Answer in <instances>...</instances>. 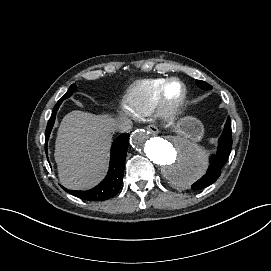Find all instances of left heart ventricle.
Segmentation results:
<instances>
[{
	"label": "left heart ventricle",
	"instance_id": "left-heart-ventricle-1",
	"mask_svg": "<svg viewBox=\"0 0 271 271\" xmlns=\"http://www.w3.org/2000/svg\"><path fill=\"white\" fill-rule=\"evenodd\" d=\"M182 90L179 84H173L170 91L172 94H178Z\"/></svg>",
	"mask_w": 271,
	"mask_h": 271
}]
</instances>
